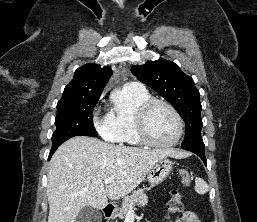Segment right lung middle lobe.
Returning <instances> with one entry per match:
<instances>
[{
  "label": "right lung middle lobe",
  "mask_w": 257,
  "mask_h": 222,
  "mask_svg": "<svg viewBox=\"0 0 257 222\" xmlns=\"http://www.w3.org/2000/svg\"><path fill=\"white\" fill-rule=\"evenodd\" d=\"M99 97L64 99L58 102L52 147L60 146L74 136H98L93 124L92 113Z\"/></svg>",
  "instance_id": "right-lung-middle-lobe-1"
}]
</instances>
